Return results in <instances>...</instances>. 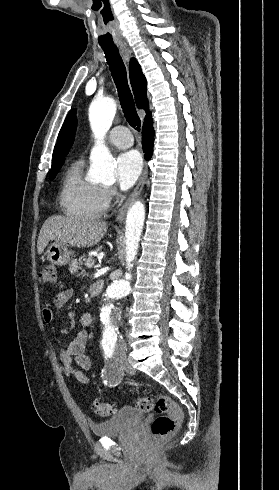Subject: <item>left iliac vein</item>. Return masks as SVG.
<instances>
[{"mask_svg":"<svg viewBox=\"0 0 279 490\" xmlns=\"http://www.w3.org/2000/svg\"><path fill=\"white\" fill-rule=\"evenodd\" d=\"M127 358H128V357H127V355H125V354H122V355L120 356V359H121L122 361L127 360Z\"/></svg>","mask_w":279,"mask_h":490,"instance_id":"left-iliac-vein-1","label":"left iliac vein"}]
</instances>
